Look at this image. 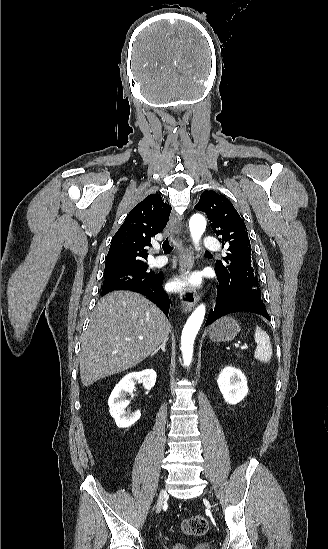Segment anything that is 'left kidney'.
Instances as JSON below:
<instances>
[{"instance_id": "5707ae66", "label": "left kidney", "mask_w": 328, "mask_h": 549, "mask_svg": "<svg viewBox=\"0 0 328 549\" xmlns=\"http://www.w3.org/2000/svg\"><path fill=\"white\" fill-rule=\"evenodd\" d=\"M218 387L229 405H236L243 401L248 395L247 379L240 371L234 367H225L217 379Z\"/></svg>"}]
</instances>
